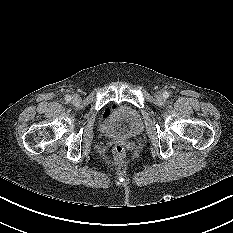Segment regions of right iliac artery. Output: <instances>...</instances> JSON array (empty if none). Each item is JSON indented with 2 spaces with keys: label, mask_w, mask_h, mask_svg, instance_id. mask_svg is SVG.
<instances>
[{
  "label": "right iliac artery",
  "mask_w": 233,
  "mask_h": 233,
  "mask_svg": "<svg viewBox=\"0 0 233 233\" xmlns=\"http://www.w3.org/2000/svg\"><path fill=\"white\" fill-rule=\"evenodd\" d=\"M65 100H66L67 102L70 101V100H71V96H70V95H66Z\"/></svg>",
  "instance_id": "1"
}]
</instances>
